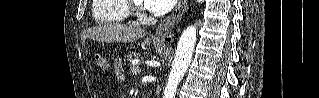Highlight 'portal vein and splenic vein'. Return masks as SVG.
Instances as JSON below:
<instances>
[{
  "instance_id": "portal-vein-and-splenic-vein-1",
  "label": "portal vein and splenic vein",
  "mask_w": 319,
  "mask_h": 98,
  "mask_svg": "<svg viewBox=\"0 0 319 98\" xmlns=\"http://www.w3.org/2000/svg\"><path fill=\"white\" fill-rule=\"evenodd\" d=\"M131 72L133 74H139L140 73V68L138 66H136L135 64H133V66L131 67Z\"/></svg>"
}]
</instances>
